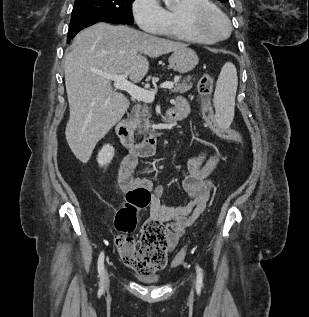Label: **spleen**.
Here are the masks:
<instances>
[{"label":"spleen","instance_id":"spleen-1","mask_svg":"<svg viewBox=\"0 0 309 317\" xmlns=\"http://www.w3.org/2000/svg\"><path fill=\"white\" fill-rule=\"evenodd\" d=\"M237 86L236 67L227 62L219 74L214 93L215 117L221 127H228L233 121Z\"/></svg>","mask_w":309,"mask_h":317}]
</instances>
